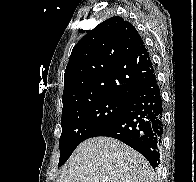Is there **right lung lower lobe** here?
<instances>
[{
    "mask_svg": "<svg viewBox=\"0 0 196 182\" xmlns=\"http://www.w3.org/2000/svg\"><path fill=\"white\" fill-rule=\"evenodd\" d=\"M163 126L160 89L153 73L131 96L126 108L91 137L119 139L141 153L155 169L160 163Z\"/></svg>",
    "mask_w": 196,
    "mask_h": 182,
    "instance_id": "98d812e1",
    "label": "right lung lower lobe"
}]
</instances>
